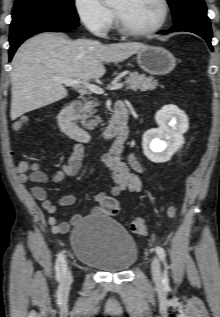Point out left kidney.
Returning <instances> with one entry per match:
<instances>
[{
	"label": "left kidney",
	"mask_w": 220,
	"mask_h": 317,
	"mask_svg": "<svg viewBox=\"0 0 220 317\" xmlns=\"http://www.w3.org/2000/svg\"><path fill=\"white\" fill-rule=\"evenodd\" d=\"M155 121L159 128L144 133L143 152L152 162H166L184 144L183 133L188 128V119L175 105H165L156 113Z\"/></svg>",
	"instance_id": "obj_1"
}]
</instances>
